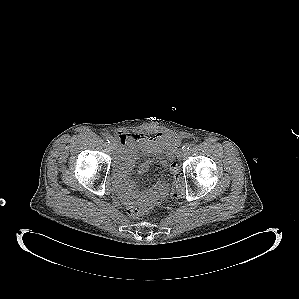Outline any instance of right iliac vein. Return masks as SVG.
<instances>
[{
  "instance_id": "right-iliac-vein-1",
  "label": "right iliac vein",
  "mask_w": 299,
  "mask_h": 299,
  "mask_svg": "<svg viewBox=\"0 0 299 299\" xmlns=\"http://www.w3.org/2000/svg\"><path fill=\"white\" fill-rule=\"evenodd\" d=\"M111 145H112L113 149H115V147H116V145H117L116 140H113V142L111 143Z\"/></svg>"
}]
</instances>
